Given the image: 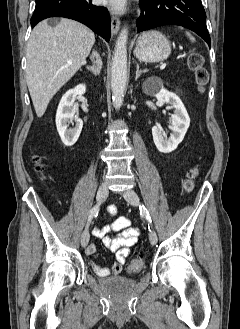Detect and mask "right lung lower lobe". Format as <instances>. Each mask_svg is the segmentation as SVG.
<instances>
[{
    "label": "right lung lower lobe",
    "instance_id": "right-lung-lower-lobe-1",
    "mask_svg": "<svg viewBox=\"0 0 240 329\" xmlns=\"http://www.w3.org/2000/svg\"><path fill=\"white\" fill-rule=\"evenodd\" d=\"M49 17H65L79 21L106 41L110 40V17L105 7H98L91 0H36L31 18L32 28Z\"/></svg>",
    "mask_w": 240,
    "mask_h": 329
}]
</instances>
